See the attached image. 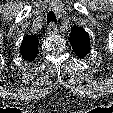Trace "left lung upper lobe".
Returning <instances> with one entry per match:
<instances>
[{
    "label": "left lung upper lobe",
    "mask_w": 113,
    "mask_h": 113,
    "mask_svg": "<svg viewBox=\"0 0 113 113\" xmlns=\"http://www.w3.org/2000/svg\"><path fill=\"white\" fill-rule=\"evenodd\" d=\"M70 44L79 58H84L90 52L89 34L82 28H71L69 37Z\"/></svg>",
    "instance_id": "left-lung-upper-lobe-1"
}]
</instances>
